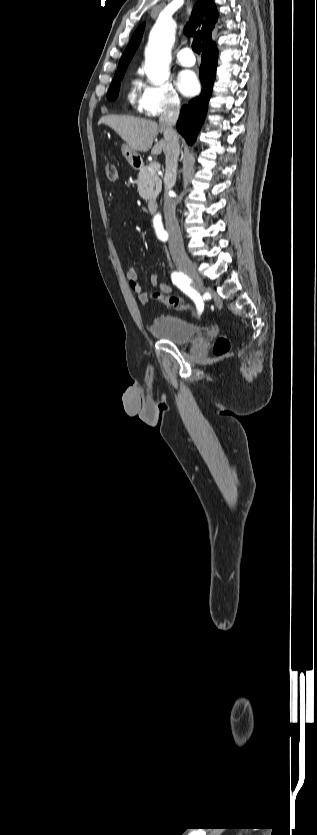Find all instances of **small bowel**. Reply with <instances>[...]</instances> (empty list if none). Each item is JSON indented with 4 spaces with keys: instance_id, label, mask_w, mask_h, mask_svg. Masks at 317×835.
Masks as SVG:
<instances>
[{
    "instance_id": "obj_1",
    "label": "small bowel",
    "mask_w": 317,
    "mask_h": 835,
    "mask_svg": "<svg viewBox=\"0 0 317 835\" xmlns=\"http://www.w3.org/2000/svg\"><path fill=\"white\" fill-rule=\"evenodd\" d=\"M127 276L131 289L136 293L141 303L146 304L148 302V297L143 287L138 282L136 269L134 267H129L127 269ZM150 283L153 287L159 288L161 292L165 294H169L173 290L169 284L162 282L155 273L150 275Z\"/></svg>"
}]
</instances>
